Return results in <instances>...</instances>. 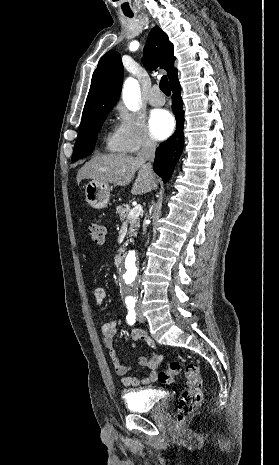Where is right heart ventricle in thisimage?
<instances>
[{"label": "right heart ventricle", "mask_w": 279, "mask_h": 465, "mask_svg": "<svg viewBox=\"0 0 279 465\" xmlns=\"http://www.w3.org/2000/svg\"><path fill=\"white\" fill-rule=\"evenodd\" d=\"M106 149L109 151H123L111 138L108 139L106 143Z\"/></svg>", "instance_id": "e07e8e85"}]
</instances>
